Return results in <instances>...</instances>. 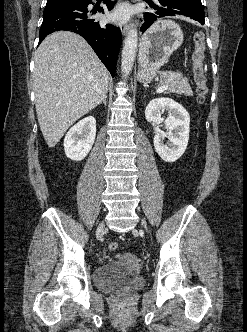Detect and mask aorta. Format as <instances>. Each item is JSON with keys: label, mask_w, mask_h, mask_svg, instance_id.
<instances>
[{"label": "aorta", "mask_w": 247, "mask_h": 332, "mask_svg": "<svg viewBox=\"0 0 247 332\" xmlns=\"http://www.w3.org/2000/svg\"><path fill=\"white\" fill-rule=\"evenodd\" d=\"M138 33L136 28H131L125 38L124 47L121 58V71L123 78H127L130 74L137 51Z\"/></svg>", "instance_id": "obj_1"}]
</instances>
